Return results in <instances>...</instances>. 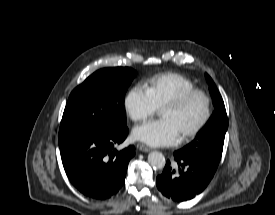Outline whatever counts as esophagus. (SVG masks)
<instances>
[{
  "label": "esophagus",
  "instance_id": "1",
  "mask_svg": "<svg viewBox=\"0 0 275 215\" xmlns=\"http://www.w3.org/2000/svg\"><path fill=\"white\" fill-rule=\"evenodd\" d=\"M137 148L142 152H149L150 151L149 147H147L146 145L141 144V143L137 144Z\"/></svg>",
  "mask_w": 275,
  "mask_h": 215
}]
</instances>
